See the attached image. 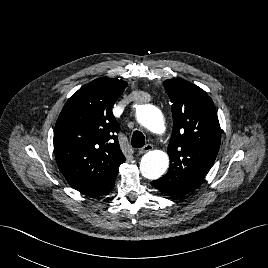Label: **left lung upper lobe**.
I'll list each match as a JSON object with an SVG mask.
<instances>
[{
    "mask_svg": "<svg viewBox=\"0 0 268 268\" xmlns=\"http://www.w3.org/2000/svg\"><path fill=\"white\" fill-rule=\"evenodd\" d=\"M163 84L172 102L170 167L151 184L179 197L196 189L210 170L219 151L221 129L214 103L204 90L183 79Z\"/></svg>",
    "mask_w": 268,
    "mask_h": 268,
    "instance_id": "left-lung-upper-lobe-1",
    "label": "left lung upper lobe"
}]
</instances>
